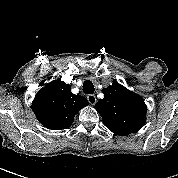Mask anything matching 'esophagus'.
I'll return each mask as SVG.
<instances>
[{"mask_svg": "<svg viewBox=\"0 0 178 178\" xmlns=\"http://www.w3.org/2000/svg\"><path fill=\"white\" fill-rule=\"evenodd\" d=\"M87 100L91 105H95L97 102V98L95 95L91 94L87 96Z\"/></svg>", "mask_w": 178, "mask_h": 178, "instance_id": "34e87169", "label": "esophagus"}]
</instances>
